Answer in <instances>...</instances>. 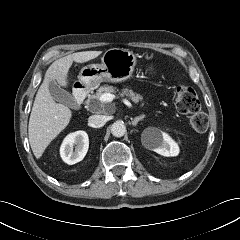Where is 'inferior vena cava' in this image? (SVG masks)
Segmentation results:
<instances>
[{"instance_id":"obj_1","label":"inferior vena cava","mask_w":240,"mask_h":240,"mask_svg":"<svg viewBox=\"0 0 240 240\" xmlns=\"http://www.w3.org/2000/svg\"><path fill=\"white\" fill-rule=\"evenodd\" d=\"M88 124L94 128H100L107 122V117L104 115H92L88 119Z\"/></svg>"}]
</instances>
